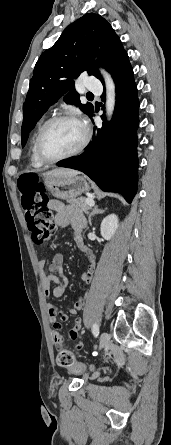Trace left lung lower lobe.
<instances>
[{
	"label": "left lung lower lobe",
	"instance_id": "obj_1",
	"mask_svg": "<svg viewBox=\"0 0 171 445\" xmlns=\"http://www.w3.org/2000/svg\"><path fill=\"white\" fill-rule=\"evenodd\" d=\"M116 107L113 118L99 129L81 155L61 160L58 166L80 170L103 191L117 192L131 203L137 192V128L139 100L130 63L114 75ZM95 111L89 116L92 118Z\"/></svg>",
	"mask_w": 171,
	"mask_h": 445
}]
</instances>
